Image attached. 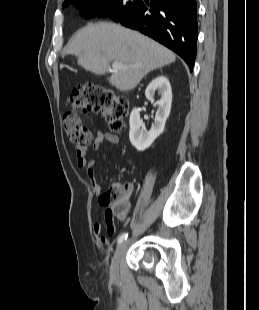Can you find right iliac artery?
Here are the masks:
<instances>
[{
  "mask_svg": "<svg viewBox=\"0 0 259 310\" xmlns=\"http://www.w3.org/2000/svg\"><path fill=\"white\" fill-rule=\"evenodd\" d=\"M128 237V233H123L118 238V244H121L124 240H126Z\"/></svg>",
  "mask_w": 259,
  "mask_h": 310,
  "instance_id": "1",
  "label": "right iliac artery"
}]
</instances>
